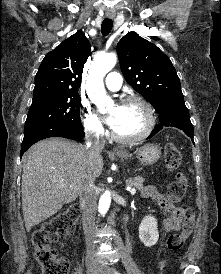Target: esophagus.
<instances>
[{"label": "esophagus", "mask_w": 221, "mask_h": 274, "mask_svg": "<svg viewBox=\"0 0 221 274\" xmlns=\"http://www.w3.org/2000/svg\"><path fill=\"white\" fill-rule=\"evenodd\" d=\"M107 17L108 18H113L114 16L112 14H108ZM113 151L114 152H118V149L114 148Z\"/></svg>", "instance_id": "1"}]
</instances>
